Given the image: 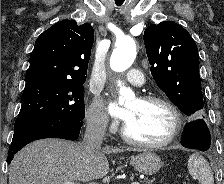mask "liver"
Instances as JSON below:
<instances>
[{
	"label": "liver",
	"mask_w": 224,
	"mask_h": 184,
	"mask_svg": "<svg viewBox=\"0 0 224 184\" xmlns=\"http://www.w3.org/2000/svg\"><path fill=\"white\" fill-rule=\"evenodd\" d=\"M123 151V148L106 146L85 154L80 144L74 142L38 140L14 156L9 167V184H62L101 179L109 172L105 154Z\"/></svg>",
	"instance_id": "liver-1"
}]
</instances>
